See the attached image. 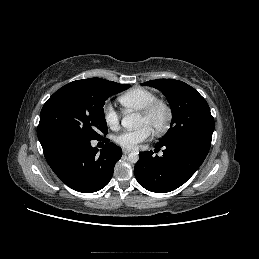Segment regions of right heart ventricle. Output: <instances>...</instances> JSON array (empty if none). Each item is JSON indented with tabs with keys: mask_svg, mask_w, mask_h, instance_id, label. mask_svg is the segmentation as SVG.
I'll return each instance as SVG.
<instances>
[{
	"mask_svg": "<svg viewBox=\"0 0 259 259\" xmlns=\"http://www.w3.org/2000/svg\"><path fill=\"white\" fill-rule=\"evenodd\" d=\"M155 99H157V95L153 91L145 88H133L119 96L118 101L126 109L140 111Z\"/></svg>",
	"mask_w": 259,
	"mask_h": 259,
	"instance_id": "obj_1",
	"label": "right heart ventricle"
}]
</instances>
